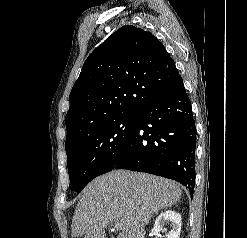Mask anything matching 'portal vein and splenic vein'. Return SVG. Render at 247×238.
I'll return each mask as SVG.
<instances>
[{
    "label": "portal vein and splenic vein",
    "instance_id": "portal-vein-and-splenic-vein-1",
    "mask_svg": "<svg viewBox=\"0 0 247 238\" xmlns=\"http://www.w3.org/2000/svg\"><path fill=\"white\" fill-rule=\"evenodd\" d=\"M121 228H122L121 223H115V224H114V229L119 230V229H121Z\"/></svg>",
    "mask_w": 247,
    "mask_h": 238
}]
</instances>
